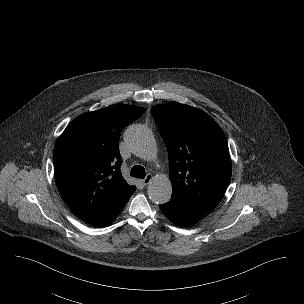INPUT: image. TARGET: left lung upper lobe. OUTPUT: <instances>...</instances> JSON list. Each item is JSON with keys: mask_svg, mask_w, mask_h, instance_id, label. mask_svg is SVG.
Instances as JSON below:
<instances>
[{"mask_svg": "<svg viewBox=\"0 0 304 304\" xmlns=\"http://www.w3.org/2000/svg\"><path fill=\"white\" fill-rule=\"evenodd\" d=\"M169 154L172 197L213 210L231 179L228 143L204 111L169 103L151 108Z\"/></svg>", "mask_w": 304, "mask_h": 304, "instance_id": "left-lung-upper-lobe-1", "label": "left lung upper lobe"}]
</instances>
